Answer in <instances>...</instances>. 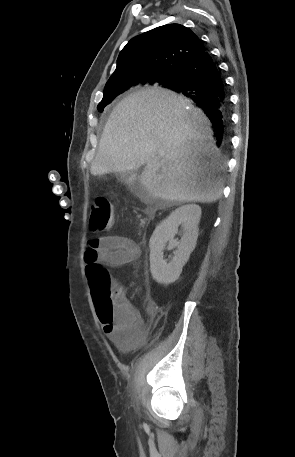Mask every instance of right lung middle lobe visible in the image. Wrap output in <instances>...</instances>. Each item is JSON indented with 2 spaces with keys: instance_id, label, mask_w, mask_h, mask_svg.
Returning <instances> with one entry per match:
<instances>
[{
  "instance_id": "1",
  "label": "right lung middle lobe",
  "mask_w": 295,
  "mask_h": 457,
  "mask_svg": "<svg viewBox=\"0 0 295 457\" xmlns=\"http://www.w3.org/2000/svg\"><path fill=\"white\" fill-rule=\"evenodd\" d=\"M175 77L167 78L163 82L164 85H161V86L165 87L167 84H170L175 79ZM129 87H131V84L130 83H125V84H122V85L112 86V87H110L108 89H104V97H103L102 101L97 106V109L99 110V112H102L106 105L111 103L116 96H118L119 94L123 93Z\"/></svg>"
}]
</instances>
